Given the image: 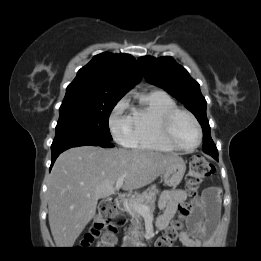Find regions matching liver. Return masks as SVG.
<instances>
[{
    "label": "liver",
    "mask_w": 261,
    "mask_h": 261,
    "mask_svg": "<svg viewBox=\"0 0 261 261\" xmlns=\"http://www.w3.org/2000/svg\"><path fill=\"white\" fill-rule=\"evenodd\" d=\"M178 158L147 150L71 148L57 158L48 182V218L58 248H71L96 213L100 198L115 193L124 177V190L152 183Z\"/></svg>",
    "instance_id": "obj_1"
}]
</instances>
